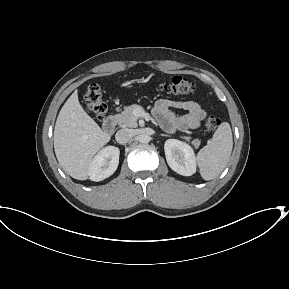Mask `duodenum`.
<instances>
[{"instance_id": "1", "label": "duodenum", "mask_w": 289, "mask_h": 289, "mask_svg": "<svg viewBox=\"0 0 289 289\" xmlns=\"http://www.w3.org/2000/svg\"><path fill=\"white\" fill-rule=\"evenodd\" d=\"M116 124V118L114 116H109L103 123V129L107 133H113L115 131Z\"/></svg>"}]
</instances>
